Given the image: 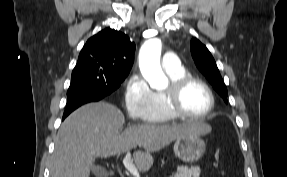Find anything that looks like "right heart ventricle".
I'll list each match as a JSON object with an SVG mask.
<instances>
[{"instance_id":"right-heart-ventricle-1","label":"right heart ventricle","mask_w":287,"mask_h":177,"mask_svg":"<svg viewBox=\"0 0 287 177\" xmlns=\"http://www.w3.org/2000/svg\"><path fill=\"white\" fill-rule=\"evenodd\" d=\"M165 72L170 82L186 75V71L182 66L175 70H165ZM175 118L176 116H174L167 107L164 93L153 92V107L149 121L154 123H165Z\"/></svg>"}]
</instances>
